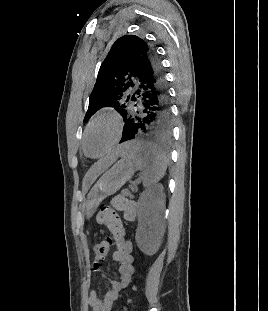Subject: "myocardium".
Instances as JSON below:
<instances>
[{
    "label": "myocardium",
    "instance_id": "obj_1",
    "mask_svg": "<svg viewBox=\"0 0 268 311\" xmlns=\"http://www.w3.org/2000/svg\"><path fill=\"white\" fill-rule=\"evenodd\" d=\"M110 120L113 125H114V136L112 138V140L110 141V143L108 144V146L106 147V149L101 152L98 155H91L87 149H86V139L87 136L90 132V130L101 120ZM122 131H123V123L121 120V117L119 116V114H117L115 111L113 110H103L100 111L99 113H97L95 116H93L90 121L88 122V124L85 127L84 133H83V137H82V148L85 152L86 155H88L89 157L92 158H99L102 157L104 155H106L109 151H111V149L118 143V141L121 138L122 135Z\"/></svg>",
    "mask_w": 268,
    "mask_h": 311
}]
</instances>
